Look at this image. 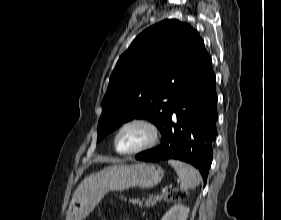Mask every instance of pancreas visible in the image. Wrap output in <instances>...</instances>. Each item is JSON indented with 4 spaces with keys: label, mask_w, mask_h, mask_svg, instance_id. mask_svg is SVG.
I'll return each mask as SVG.
<instances>
[{
    "label": "pancreas",
    "mask_w": 281,
    "mask_h": 220,
    "mask_svg": "<svg viewBox=\"0 0 281 220\" xmlns=\"http://www.w3.org/2000/svg\"><path fill=\"white\" fill-rule=\"evenodd\" d=\"M168 198V193L164 192L162 194L150 195L148 198H143L142 200H137L134 204H138L140 207L144 205L147 207L154 206L157 202H160L162 199L166 200Z\"/></svg>",
    "instance_id": "obj_1"
}]
</instances>
